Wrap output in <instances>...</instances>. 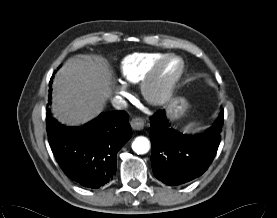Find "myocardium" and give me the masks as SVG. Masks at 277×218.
I'll use <instances>...</instances> for the list:
<instances>
[{
    "label": "myocardium",
    "instance_id": "1",
    "mask_svg": "<svg viewBox=\"0 0 277 218\" xmlns=\"http://www.w3.org/2000/svg\"><path fill=\"white\" fill-rule=\"evenodd\" d=\"M171 60L177 62V70L168 81L160 83V71L163 65ZM184 68V61L178 55L166 54L163 56L152 66L142 83V93L144 98L151 104H162L166 102L172 96L177 83L180 81Z\"/></svg>",
    "mask_w": 277,
    "mask_h": 218
}]
</instances>
